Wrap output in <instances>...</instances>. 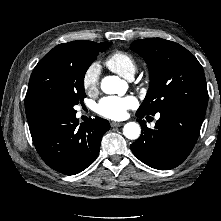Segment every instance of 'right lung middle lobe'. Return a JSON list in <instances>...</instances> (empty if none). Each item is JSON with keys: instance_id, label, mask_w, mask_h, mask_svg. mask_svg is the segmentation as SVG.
I'll list each match as a JSON object with an SVG mask.
<instances>
[{"instance_id": "1", "label": "right lung middle lobe", "mask_w": 221, "mask_h": 221, "mask_svg": "<svg viewBox=\"0 0 221 221\" xmlns=\"http://www.w3.org/2000/svg\"><path fill=\"white\" fill-rule=\"evenodd\" d=\"M111 44L89 41L43 62L38 70L41 79L37 93L39 105H55L75 111L74 105L86 97L84 76L87 69L99 52H104Z\"/></svg>"}]
</instances>
